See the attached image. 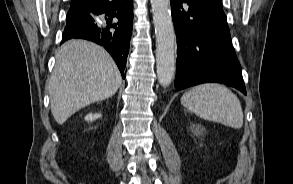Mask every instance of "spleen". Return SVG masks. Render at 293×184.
<instances>
[{
	"label": "spleen",
	"instance_id": "spleen-1",
	"mask_svg": "<svg viewBox=\"0 0 293 184\" xmlns=\"http://www.w3.org/2000/svg\"><path fill=\"white\" fill-rule=\"evenodd\" d=\"M181 104L197 116L239 129L243 125V111L238 97L218 83L197 85L181 98Z\"/></svg>",
	"mask_w": 293,
	"mask_h": 184
}]
</instances>
